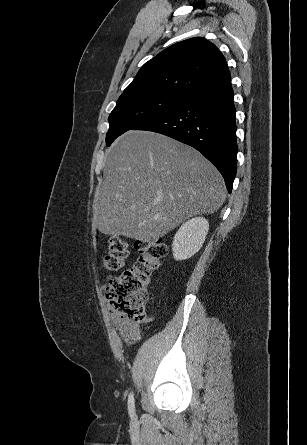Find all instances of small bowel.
Returning a JSON list of instances; mask_svg holds the SVG:
<instances>
[{
	"label": "small bowel",
	"mask_w": 307,
	"mask_h": 445,
	"mask_svg": "<svg viewBox=\"0 0 307 445\" xmlns=\"http://www.w3.org/2000/svg\"><path fill=\"white\" fill-rule=\"evenodd\" d=\"M112 277L113 276H109L107 278V282L103 285V289L107 287L108 282ZM109 315L112 324L117 328L125 343L133 344L139 340L140 330L137 324L126 321L120 313L113 308L110 309Z\"/></svg>",
	"instance_id": "c3829d8e"
}]
</instances>
